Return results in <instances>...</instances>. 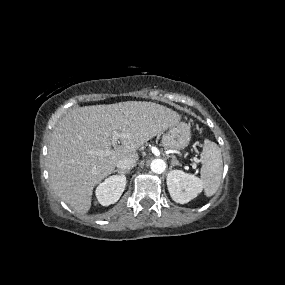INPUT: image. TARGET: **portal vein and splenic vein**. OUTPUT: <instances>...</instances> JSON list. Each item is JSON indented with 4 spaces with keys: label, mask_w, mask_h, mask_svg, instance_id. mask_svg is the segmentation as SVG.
<instances>
[{
    "label": "portal vein and splenic vein",
    "mask_w": 285,
    "mask_h": 285,
    "mask_svg": "<svg viewBox=\"0 0 285 285\" xmlns=\"http://www.w3.org/2000/svg\"><path fill=\"white\" fill-rule=\"evenodd\" d=\"M120 133L119 132H117V131H113V133H112V145L113 146H116L117 145V142H118V139L120 138ZM109 153V151H106V152H100L99 154H98V156H100V157H103L104 155H107ZM194 161H197L196 159H194Z\"/></svg>",
    "instance_id": "obj_1"
}]
</instances>
